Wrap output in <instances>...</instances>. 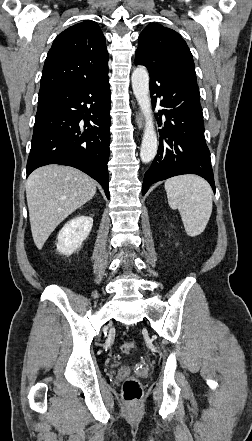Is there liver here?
Here are the masks:
<instances>
[{
  "instance_id": "obj_1",
  "label": "liver",
  "mask_w": 252,
  "mask_h": 441,
  "mask_svg": "<svg viewBox=\"0 0 252 441\" xmlns=\"http://www.w3.org/2000/svg\"><path fill=\"white\" fill-rule=\"evenodd\" d=\"M95 193V181L73 167L47 165L33 171L26 197L36 247L41 249L55 228Z\"/></svg>"
}]
</instances>
